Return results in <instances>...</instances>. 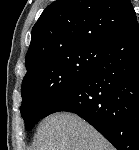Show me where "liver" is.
Here are the masks:
<instances>
[{"mask_svg": "<svg viewBox=\"0 0 139 150\" xmlns=\"http://www.w3.org/2000/svg\"><path fill=\"white\" fill-rule=\"evenodd\" d=\"M36 150H113L92 126L71 113L45 118L37 129Z\"/></svg>", "mask_w": 139, "mask_h": 150, "instance_id": "liver-1", "label": "liver"}]
</instances>
